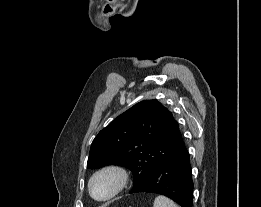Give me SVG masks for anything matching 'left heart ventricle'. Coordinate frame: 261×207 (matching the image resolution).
<instances>
[{
  "label": "left heart ventricle",
  "instance_id": "b2bd125f",
  "mask_svg": "<svg viewBox=\"0 0 261 207\" xmlns=\"http://www.w3.org/2000/svg\"><path fill=\"white\" fill-rule=\"evenodd\" d=\"M114 179L109 175L96 178L92 184V191L97 198L106 197L114 187Z\"/></svg>",
  "mask_w": 261,
  "mask_h": 207
}]
</instances>
